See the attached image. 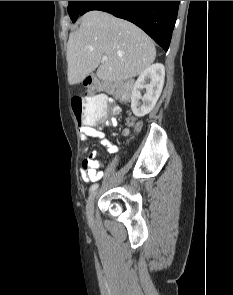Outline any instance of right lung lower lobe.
I'll use <instances>...</instances> for the list:
<instances>
[{"label": "right lung lower lobe", "mask_w": 233, "mask_h": 295, "mask_svg": "<svg viewBox=\"0 0 233 295\" xmlns=\"http://www.w3.org/2000/svg\"><path fill=\"white\" fill-rule=\"evenodd\" d=\"M180 1H86L80 15L100 10L131 21L168 50Z\"/></svg>", "instance_id": "1"}]
</instances>
